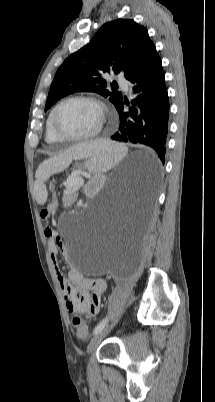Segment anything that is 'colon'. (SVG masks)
<instances>
[{"label":"colon","instance_id":"colon-1","mask_svg":"<svg viewBox=\"0 0 215 402\" xmlns=\"http://www.w3.org/2000/svg\"><path fill=\"white\" fill-rule=\"evenodd\" d=\"M57 209V203L54 202L52 203L49 207L44 208L41 212V216L44 219H48L52 214H54L56 212ZM95 309L94 306L91 307V312H93ZM74 328L76 330V333L78 334V336L80 337H85L87 335V326L83 323L82 319L80 318V316L75 315L72 319Z\"/></svg>","mask_w":215,"mask_h":402}]
</instances>
